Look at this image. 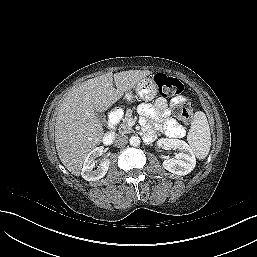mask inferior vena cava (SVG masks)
I'll return each instance as SVG.
<instances>
[{
	"mask_svg": "<svg viewBox=\"0 0 257 257\" xmlns=\"http://www.w3.org/2000/svg\"><path fill=\"white\" fill-rule=\"evenodd\" d=\"M127 143H128V137L126 135H120L114 141V145L117 147H123Z\"/></svg>",
	"mask_w": 257,
	"mask_h": 257,
	"instance_id": "602c4592",
	"label": "inferior vena cava"
}]
</instances>
